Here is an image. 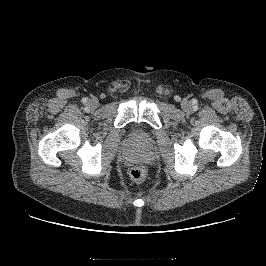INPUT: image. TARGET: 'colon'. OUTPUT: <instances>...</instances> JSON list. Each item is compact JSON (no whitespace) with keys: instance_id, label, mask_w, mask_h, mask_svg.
Segmentation results:
<instances>
[{"instance_id":"obj_1","label":"colon","mask_w":266,"mask_h":266,"mask_svg":"<svg viewBox=\"0 0 266 266\" xmlns=\"http://www.w3.org/2000/svg\"><path fill=\"white\" fill-rule=\"evenodd\" d=\"M147 175V169L144 166H135L130 171V177L136 183H144Z\"/></svg>"}]
</instances>
